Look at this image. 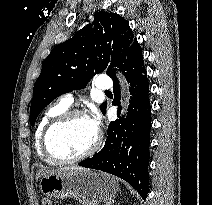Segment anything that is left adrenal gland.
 <instances>
[{
	"instance_id": "a2214340",
	"label": "left adrenal gland",
	"mask_w": 212,
	"mask_h": 205,
	"mask_svg": "<svg viewBox=\"0 0 212 205\" xmlns=\"http://www.w3.org/2000/svg\"><path fill=\"white\" fill-rule=\"evenodd\" d=\"M112 202L107 203L106 205H110Z\"/></svg>"
}]
</instances>
